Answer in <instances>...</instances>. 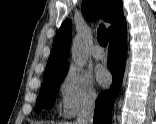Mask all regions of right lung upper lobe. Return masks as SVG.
Listing matches in <instances>:
<instances>
[{"label": "right lung upper lobe", "mask_w": 156, "mask_h": 124, "mask_svg": "<svg viewBox=\"0 0 156 124\" xmlns=\"http://www.w3.org/2000/svg\"><path fill=\"white\" fill-rule=\"evenodd\" d=\"M82 13L88 20L101 17L111 23L108 28L110 38L126 29L121 0H83ZM70 40L71 21L66 20L55 36L44 78L67 71Z\"/></svg>", "instance_id": "obj_1"}]
</instances>
